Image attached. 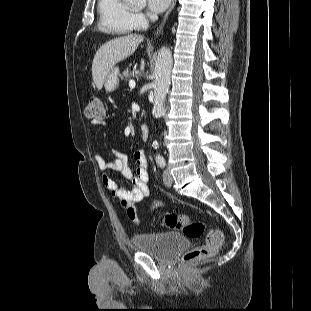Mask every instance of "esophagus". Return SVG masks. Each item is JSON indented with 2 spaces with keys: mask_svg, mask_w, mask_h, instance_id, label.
<instances>
[{
  "mask_svg": "<svg viewBox=\"0 0 311 311\" xmlns=\"http://www.w3.org/2000/svg\"><path fill=\"white\" fill-rule=\"evenodd\" d=\"M175 5H176V0H172L171 5L169 6V8H168V10H167V12H166V14H165V16H164V18H163V21H162L161 25L159 26V28H158L157 31L155 32V35H158V34L160 33V31H161V29H162V27H163V25H164L166 19L168 18V16H169V14L171 13V11L174 9Z\"/></svg>",
  "mask_w": 311,
  "mask_h": 311,
  "instance_id": "34e87169",
  "label": "esophagus"
}]
</instances>
